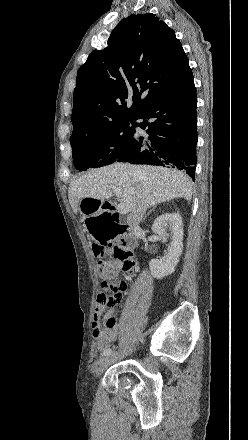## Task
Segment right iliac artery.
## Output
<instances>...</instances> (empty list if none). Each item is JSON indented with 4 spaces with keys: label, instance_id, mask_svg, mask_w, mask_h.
Segmentation results:
<instances>
[{
    "label": "right iliac artery",
    "instance_id": "82829eb1",
    "mask_svg": "<svg viewBox=\"0 0 248 440\" xmlns=\"http://www.w3.org/2000/svg\"><path fill=\"white\" fill-rule=\"evenodd\" d=\"M112 353V350L111 349H106L104 352H103V356H108V355H110Z\"/></svg>",
    "mask_w": 248,
    "mask_h": 440
}]
</instances>
